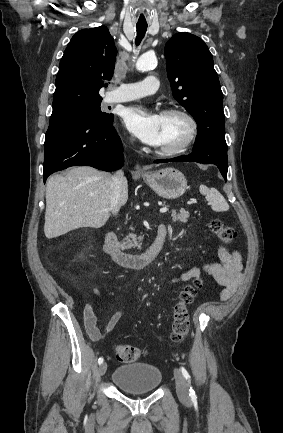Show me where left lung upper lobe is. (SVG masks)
I'll list each match as a JSON object with an SVG mask.
<instances>
[{"label": "left lung upper lobe", "instance_id": "left-lung-upper-lobe-1", "mask_svg": "<svg viewBox=\"0 0 283 433\" xmlns=\"http://www.w3.org/2000/svg\"><path fill=\"white\" fill-rule=\"evenodd\" d=\"M165 57L174 99L194 117L199 129L224 131L223 94L204 41L187 32L177 33L166 43Z\"/></svg>", "mask_w": 283, "mask_h": 433}]
</instances>
